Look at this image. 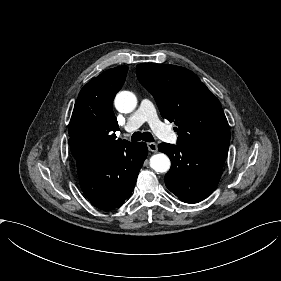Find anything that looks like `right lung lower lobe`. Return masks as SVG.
Returning a JSON list of instances; mask_svg holds the SVG:
<instances>
[{
    "instance_id": "obj_1",
    "label": "right lung lower lobe",
    "mask_w": 281,
    "mask_h": 281,
    "mask_svg": "<svg viewBox=\"0 0 281 281\" xmlns=\"http://www.w3.org/2000/svg\"><path fill=\"white\" fill-rule=\"evenodd\" d=\"M147 151L144 142L128 143L113 153L75 159L85 196L102 210L120 207L134 190Z\"/></svg>"
}]
</instances>
